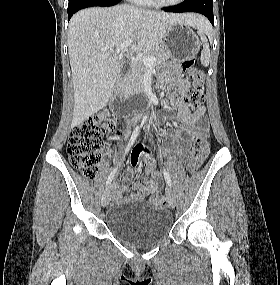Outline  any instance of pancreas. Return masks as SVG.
Masks as SVG:
<instances>
[{
  "label": "pancreas",
  "instance_id": "1",
  "mask_svg": "<svg viewBox=\"0 0 280 285\" xmlns=\"http://www.w3.org/2000/svg\"><path fill=\"white\" fill-rule=\"evenodd\" d=\"M144 56H153L156 58L154 66L166 61L169 58L168 52L162 47L147 51ZM143 56V57H144ZM147 66L141 61H135L132 65L131 72L124 81L125 94L141 93L143 91V79Z\"/></svg>",
  "mask_w": 280,
  "mask_h": 285
}]
</instances>
